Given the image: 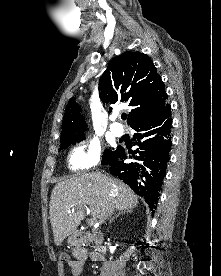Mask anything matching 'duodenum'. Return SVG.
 <instances>
[{
  "instance_id": "1",
  "label": "duodenum",
  "mask_w": 221,
  "mask_h": 276,
  "mask_svg": "<svg viewBox=\"0 0 221 276\" xmlns=\"http://www.w3.org/2000/svg\"><path fill=\"white\" fill-rule=\"evenodd\" d=\"M86 241L95 243V253L102 259V254L106 250V247L102 243V235L99 232H78L77 243L81 245Z\"/></svg>"
}]
</instances>
